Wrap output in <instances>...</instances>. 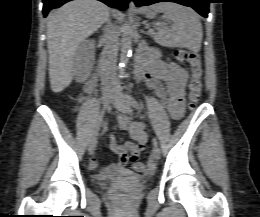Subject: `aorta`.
I'll return each mask as SVG.
<instances>
[{"label": "aorta", "instance_id": "obj_1", "mask_svg": "<svg viewBox=\"0 0 260 217\" xmlns=\"http://www.w3.org/2000/svg\"><path fill=\"white\" fill-rule=\"evenodd\" d=\"M131 46H132V30L130 25L127 23L124 26L122 40H121V55H120L121 64L126 63L128 61V58L132 55Z\"/></svg>", "mask_w": 260, "mask_h": 217}]
</instances>
